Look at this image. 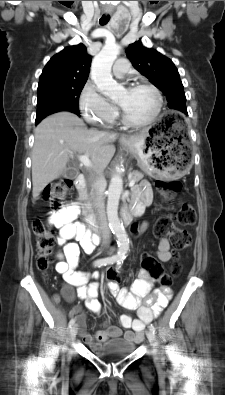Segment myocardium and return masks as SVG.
Returning <instances> with one entry per match:
<instances>
[{
  "instance_id": "obj_1",
  "label": "myocardium",
  "mask_w": 225,
  "mask_h": 395,
  "mask_svg": "<svg viewBox=\"0 0 225 395\" xmlns=\"http://www.w3.org/2000/svg\"><path fill=\"white\" fill-rule=\"evenodd\" d=\"M138 88L149 89L155 96L156 105H155V109H154L152 115L148 119L141 121V122H134V121L129 120L122 110L121 111V120H122L123 124L128 127H132V128H142V127H146V126L152 124L158 118V116L161 112V109H162V105H163L161 93L156 86H154L153 84L148 83V82L140 81V82L133 83L129 87V90L138 89Z\"/></svg>"
}]
</instances>
